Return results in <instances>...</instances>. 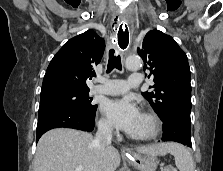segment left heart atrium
Returning a JSON list of instances; mask_svg holds the SVG:
<instances>
[{
	"mask_svg": "<svg viewBox=\"0 0 223 171\" xmlns=\"http://www.w3.org/2000/svg\"><path fill=\"white\" fill-rule=\"evenodd\" d=\"M102 111L117 129L127 133L131 132L141 115L135 103L128 97L105 101Z\"/></svg>",
	"mask_w": 223,
	"mask_h": 171,
	"instance_id": "obj_1",
	"label": "left heart atrium"
}]
</instances>
